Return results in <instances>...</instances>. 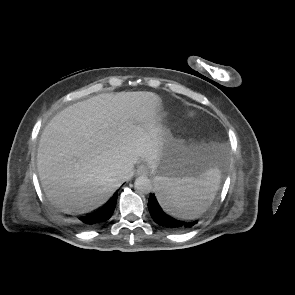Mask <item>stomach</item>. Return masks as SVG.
<instances>
[{"instance_id": "stomach-1", "label": "stomach", "mask_w": 295, "mask_h": 295, "mask_svg": "<svg viewBox=\"0 0 295 295\" xmlns=\"http://www.w3.org/2000/svg\"><path fill=\"white\" fill-rule=\"evenodd\" d=\"M210 158L208 146L186 144L176 140L169 132L157 166L151 168V171L157 177L199 178L210 169Z\"/></svg>"}]
</instances>
